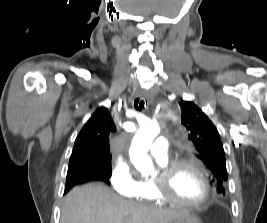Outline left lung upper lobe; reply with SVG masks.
<instances>
[{
  "label": "left lung upper lobe",
  "instance_id": "left-lung-upper-lobe-1",
  "mask_svg": "<svg viewBox=\"0 0 267 223\" xmlns=\"http://www.w3.org/2000/svg\"><path fill=\"white\" fill-rule=\"evenodd\" d=\"M181 123L205 167L211 172V183L218 193L225 194L223 183L227 181L224 149L219 133L211 120L193 102H180Z\"/></svg>",
  "mask_w": 267,
  "mask_h": 223
}]
</instances>
